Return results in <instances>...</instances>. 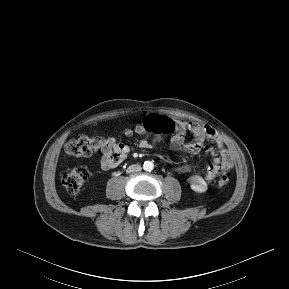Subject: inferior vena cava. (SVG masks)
Wrapping results in <instances>:
<instances>
[{
  "label": "inferior vena cava",
  "mask_w": 289,
  "mask_h": 289,
  "mask_svg": "<svg viewBox=\"0 0 289 289\" xmlns=\"http://www.w3.org/2000/svg\"><path fill=\"white\" fill-rule=\"evenodd\" d=\"M141 166L138 165V164H134V165H131L127 168V172L128 173H132V172H139L141 171Z\"/></svg>",
  "instance_id": "1"
}]
</instances>
